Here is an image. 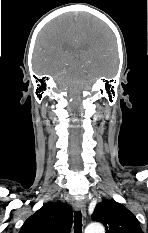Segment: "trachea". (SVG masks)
<instances>
[{"instance_id":"obj_1","label":"trachea","mask_w":148,"mask_h":233,"mask_svg":"<svg viewBox=\"0 0 148 233\" xmlns=\"http://www.w3.org/2000/svg\"><path fill=\"white\" fill-rule=\"evenodd\" d=\"M82 232V214L81 211L74 212V233Z\"/></svg>"}]
</instances>
